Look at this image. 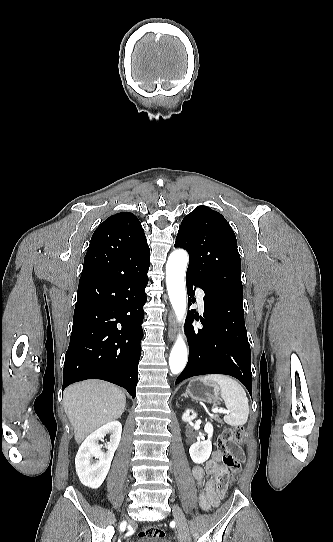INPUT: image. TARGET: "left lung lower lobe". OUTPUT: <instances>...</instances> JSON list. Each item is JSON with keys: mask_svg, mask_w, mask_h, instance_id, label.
I'll use <instances>...</instances> for the list:
<instances>
[{"mask_svg": "<svg viewBox=\"0 0 333 542\" xmlns=\"http://www.w3.org/2000/svg\"><path fill=\"white\" fill-rule=\"evenodd\" d=\"M189 305L196 300L193 286L205 292L204 328L192 325L199 320L195 310L189 311L185 333L189 344V359L176 384L197 375L225 374L240 380L252 396L251 352L244 323L243 296L229 290L206 287L203 282L186 273ZM192 298V299H191Z\"/></svg>", "mask_w": 333, "mask_h": 542, "instance_id": "left-lung-lower-lobe-1", "label": "left lung lower lobe"}]
</instances>
